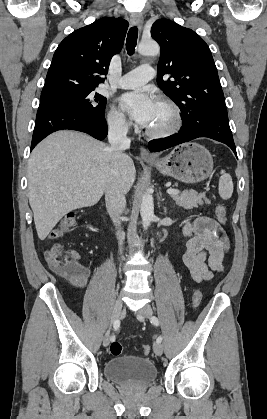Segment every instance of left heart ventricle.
<instances>
[{"instance_id": "b2bd125f", "label": "left heart ventricle", "mask_w": 267, "mask_h": 419, "mask_svg": "<svg viewBox=\"0 0 267 419\" xmlns=\"http://www.w3.org/2000/svg\"><path fill=\"white\" fill-rule=\"evenodd\" d=\"M173 121V115L170 108L162 103L157 102L152 114V118L147 128L162 129L169 126Z\"/></svg>"}]
</instances>
